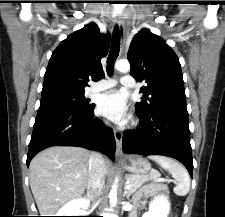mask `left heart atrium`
I'll use <instances>...</instances> for the list:
<instances>
[{
	"instance_id": "left-heart-atrium-1",
	"label": "left heart atrium",
	"mask_w": 225,
	"mask_h": 217,
	"mask_svg": "<svg viewBox=\"0 0 225 217\" xmlns=\"http://www.w3.org/2000/svg\"><path fill=\"white\" fill-rule=\"evenodd\" d=\"M98 111L115 122L124 121L127 116L125 95L119 91H110L102 95L98 101Z\"/></svg>"
}]
</instances>
